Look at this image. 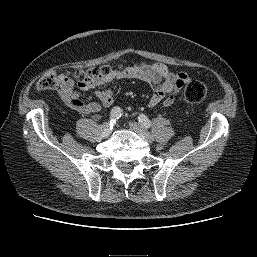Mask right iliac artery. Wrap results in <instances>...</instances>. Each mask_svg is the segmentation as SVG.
<instances>
[{"label": "right iliac artery", "instance_id": "obj_1", "mask_svg": "<svg viewBox=\"0 0 257 257\" xmlns=\"http://www.w3.org/2000/svg\"><path fill=\"white\" fill-rule=\"evenodd\" d=\"M122 110L120 107H114L110 113V127L113 126L117 120L121 117Z\"/></svg>", "mask_w": 257, "mask_h": 257}]
</instances>
